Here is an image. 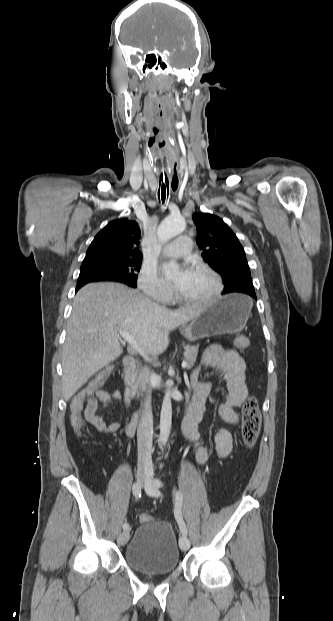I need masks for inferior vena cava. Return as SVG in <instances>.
Wrapping results in <instances>:
<instances>
[{"instance_id":"obj_1","label":"inferior vena cava","mask_w":333,"mask_h":621,"mask_svg":"<svg viewBox=\"0 0 333 621\" xmlns=\"http://www.w3.org/2000/svg\"><path fill=\"white\" fill-rule=\"evenodd\" d=\"M144 413L137 428L138 463L152 464L153 422L150 392L143 403Z\"/></svg>"}]
</instances>
